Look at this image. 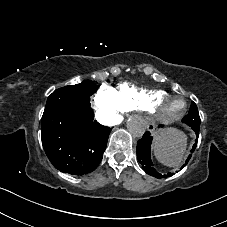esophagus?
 <instances>
[{"label":"esophagus","mask_w":227,"mask_h":227,"mask_svg":"<svg viewBox=\"0 0 227 227\" xmlns=\"http://www.w3.org/2000/svg\"><path fill=\"white\" fill-rule=\"evenodd\" d=\"M143 124L145 127H147L148 132L153 133L156 130L155 122L152 118L147 117L144 119Z\"/></svg>","instance_id":"obj_1"}]
</instances>
